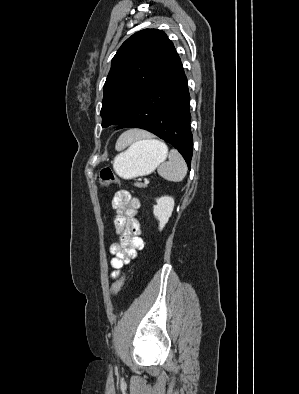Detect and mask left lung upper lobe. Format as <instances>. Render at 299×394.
Wrapping results in <instances>:
<instances>
[{
  "instance_id": "5c2ea615",
  "label": "left lung upper lobe",
  "mask_w": 299,
  "mask_h": 394,
  "mask_svg": "<svg viewBox=\"0 0 299 394\" xmlns=\"http://www.w3.org/2000/svg\"><path fill=\"white\" fill-rule=\"evenodd\" d=\"M178 58L161 30L145 29L129 37L113 57L104 84L102 127L125 120L151 83Z\"/></svg>"
}]
</instances>
